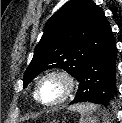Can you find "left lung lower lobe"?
<instances>
[{"instance_id": "1", "label": "left lung lower lobe", "mask_w": 122, "mask_h": 123, "mask_svg": "<svg viewBox=\"0 0 122 123\" xmlns=\"http://www.w3.org/2000/svg\"><path fill=\"white\" fill-rule=\"evenodd\" d=\"M117 49L112 33L88 60L79 77V89L69 103L108 104L116 96Z\"/></svg>"}]
</instances>
